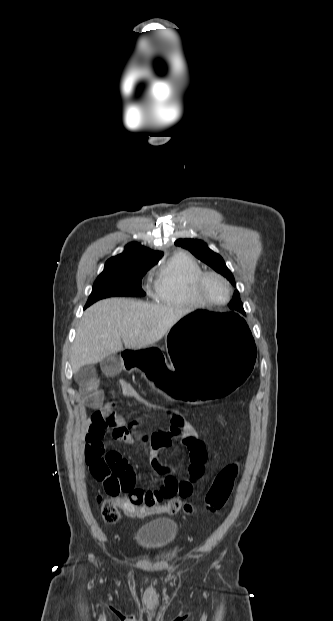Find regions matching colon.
<instances>
[{
	"label": "colon",
	"instance_id": "colon-1",
	"mask_svg": "<svg viewBox=\"0 0 333 621\" xmlns=\"http://www.w3.org/2000/svg\"><path fill=\"white\" fill-rule=\"evenodd\" d=\"M161 402V404L147 403L156 407H174L169 405L167 400L162 399ZM92 475L103 486L105 496L99 495L97 500L101 504L102 518L107 523L118 522L121 511L134 517H144L161 512L176 514L181 510L190 514L193 511L190 504L183 503L178 498H171L165 504L154 503L137 508L131 507L124 498L120 497L121 492L131 491L136 485L134 469L128 463L120 469L108 462H101ZM237 475V463L228 464L217 474L205 498V508L209 513H216L225 506L233 490Z\"/></svg>",
	"mask_w": 333,
	"mask_h": 621
}]
</instances>
